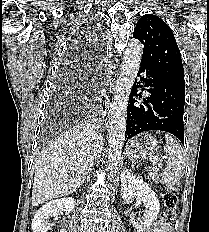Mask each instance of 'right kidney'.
<instances>
[{
	"label": "right kidney",
	"instance_id": "1",
	"mask_svg": "<svg viewBox=\"0 0 209 232\" xmlns=\"http://www.w3.org/2000/svg\"><path fill=\"white\" fill-rule=\"evenodd\" d=\"M75 199L60 198L52 200L43 205L34 215L32 220L33 232H48L50 227L48 226V219L53 216H57L59 212H69L75 207ZM59 232H66L65 229H61Z\"/></svg>",
	"mask_w": 209,
	"mask_h": 232
}]
</instances>
